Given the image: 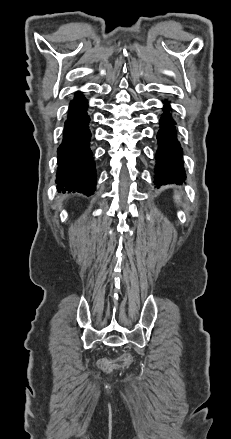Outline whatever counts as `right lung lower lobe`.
Here are the masks:
<instances>
[{"mask_svg":"<svg viewBox=\"0 0 231 439\" xmlns=\"http://www.w3.org/2000/svg\"><path fill=\"white\" fill-rule=\"evenodd\" d=\"M87 101L80 92L69 106L63 140L58 148V189L77 191L90 196L96 188V168L89 147L90 118L86 113Z\"/></svg>","mask_w":231,"mask_h":439,"instance_id":"obj_1","label":"right lung lower lobe"}]
</instances>
